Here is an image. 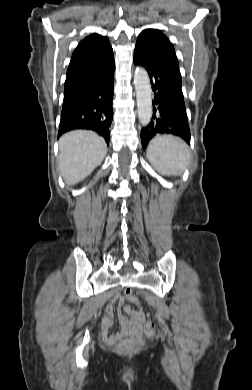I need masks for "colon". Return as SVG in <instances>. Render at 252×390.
<instances>
[{"mask_svg": "<svg viewBox=\"0 0 252 390\" xmlns=\"http://www.w3.org/2000/svg\"><path fill=\"white\" fill-rule=\"evenodd\" d=\"M124 295L128 299H132L133 298L132 291L129 288L125 289ZM152 328H153V325H152V323L149 322L147 324L145 332L146 333H151ZM142 341H143V336L140 335V334H136L135 336L120 342L117 345V349L119 351H121V352H133L134 350H136L141 345Z\"/></svg>", "mask_w": 252, "mask_h": 390, "instance_id": "colon-1", "label": "colon"}]
</instances>
